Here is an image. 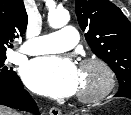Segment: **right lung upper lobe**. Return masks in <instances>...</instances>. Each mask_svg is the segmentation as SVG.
<instances>
[{"mask_svg": "<svg viewBox=\"0 0 131 115\" xmlns=\"http://www.w3.org/2000/svg\"><path fill=\"white\" fill-rule=\"evenodd\" d=\"M27 22L23 0H0V54L12 48L13 39L25 33Z\"/></svg>", "mask_w": 131, "mask_h": 115, "instance_id": "obj_1", "label": "right lung upper lobe"}]
</instances>
